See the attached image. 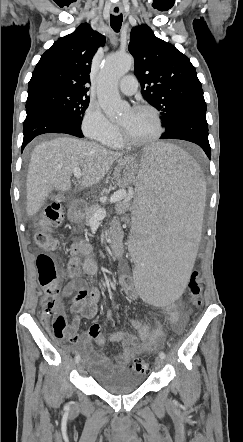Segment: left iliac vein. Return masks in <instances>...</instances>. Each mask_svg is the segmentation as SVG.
I'll use <instances>...</instances> for the list:
<instances>
[{
    "label": "left iliac vein",
    "mask_w": 243,
    "mask_h": 442,
    "mask_svg": "<svg viewBox=\"0 0 243 442\" xmlns=\"http://www.w3.org/2000/svg\"><path fill=\"white\" fill-rule=\"evenodd\" d=\"M155 365H156V367L158 368V369H160V368H162L163 367V365H164V361H163V359L159 356V357H156V359H155Z\"/></svg>",
    "instance_id": "left-iliac-vein-1"
}]
</instances>
